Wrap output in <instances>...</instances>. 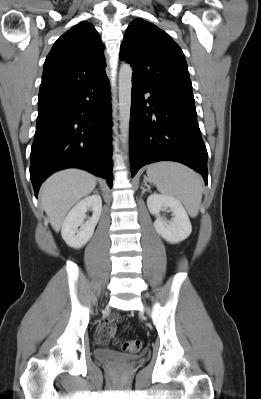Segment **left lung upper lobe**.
Returning <instances> with one entry per match:
<instances>
[{
	"instance_id": "obj_1",
	"label": "left lung upper lobe",
	"mask_w": 261,
	"mask_h": 399,
	"mask_svg": "<svg viewBox=\"0 0 261 399\" xmlns=\"http://www.w3.org/2000/svg\"><path fill=\"white\" fill-rule=\"evenodd\" d=\"M120 59L131 63L133 77L148 86L192 94L184 53L174 40L154 24L135 19L128 26Z\"/></svg>"
}]
</instances>
